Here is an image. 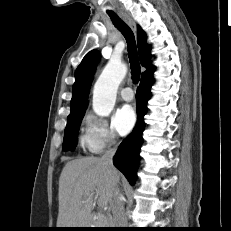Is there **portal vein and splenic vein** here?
Listing matches in <instances>:
<instances>
[{"label":"portal vein and splenic vein","mask_w":231,"mask_h":231,"mask_svg":"<svg viewBox=\"0 0 231 231\" xmlns=\"http://www.w3.org/2000/svg\"><path fill=\"white\" fill-rule=\"evenodd\" d=\"M98 205L102 207V202L98 200Z\"/></svg>","instance_id":"1"}]
</instances>
